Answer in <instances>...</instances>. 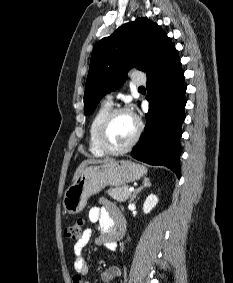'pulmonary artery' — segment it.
<instances>
[{
	"mask_svg": "<svg viewBox=\"0 0 233 283\" xmlns=\"http://www.w3.org/2000/svg\"><path fill=\"white\" fill-rule=\"evenodd\" d=\"M132 82L135 86H141V85H144L146 83V78L141 74H136V75H134ZM105 102L112 104L113 103L112 95H107Z\"/></svg>",
	"mask_w": 233,
	"mask_h": 283,
	"instance_id": "obj_1",
	"label": "pulmonary artery"
}]
</instances>
